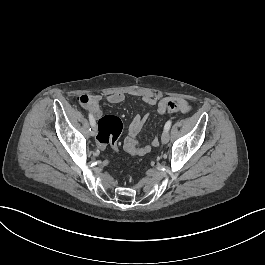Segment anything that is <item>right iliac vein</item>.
Listing matches in <instances>:
<instances>
[{"mask_svg": "<svg viewBox=\"0 0 265 265\" xmlns=\"http://www.w3.org/2000/svg\"><path fill=\"white\" fill-rule=\"evenodd\" d=\"M90 134H91L92 136H96V135H97V128H96L95 125L92 126V128H91V130H90Z\"/></svg>", "mask_w": 265, "mask_h": 265, "instance_id": "obj_1", "label": "right iliac vein"}]
</instances>
